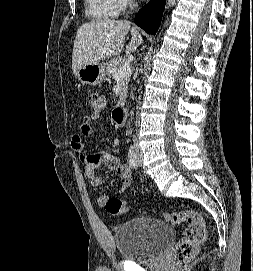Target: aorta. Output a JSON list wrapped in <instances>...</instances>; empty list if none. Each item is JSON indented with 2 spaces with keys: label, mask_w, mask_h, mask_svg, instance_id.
<instances>
[{
  "label": "aorta",
  "mask_w": 253,
  "mask_h": 271,
  "mask_svg": "<svg viewBox=\"0 0 253 271\" xmlns=\"http://www.w3.org/2000/svg\"><path fill=\"white\" fill-rule=\"evenodd\" d=\"M175 3H176V0H167L166 9L173 7Z\"/></svg>",
  "instance_id": "aorta-1"
}]
</instances>
